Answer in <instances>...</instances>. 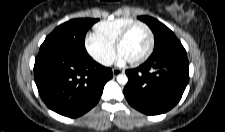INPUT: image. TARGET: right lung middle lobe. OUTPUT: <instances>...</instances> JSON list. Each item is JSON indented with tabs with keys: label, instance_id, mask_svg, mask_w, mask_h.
Masks as SVG:
<instances>
[{
	"label": "right lung middle lobe",
	"instance_id": "right-lung-middle-lobe-1",
	"mask_svg": "<svg viewBox=\"0 0 225 132\" xmlns=\"http://www.w3.org/2000/svg\"><path fill=\"white\" fill-rule=\"evenodd\" d=\"M98 19H73L61 24L46 37L40 49L52 48L62 51L86 54L85 36Z\"/></svg>",
	"mask_w": 225,
	"mask_h": 132
}]
</instances>
